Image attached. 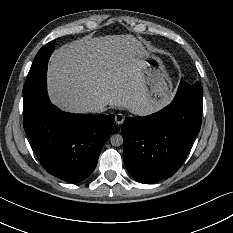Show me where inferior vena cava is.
<instances>
[{
    "label": "inferior vena cava",
    "mask_w": 233,
    "mask_h": 233,
    "mask_svg": "<svg viewBox=\"0 0 233 233\" xmlns=\"http://www.w3.org/2000/svg\"><path fill=\"white\" fill-rule=\"evenodd\" d=\"M106 110L105 105L102 101H97L93 105L90 106L89 111L93 113H101Z\"/></svg>",
    "instance_id": "1"
}]
</instances>
